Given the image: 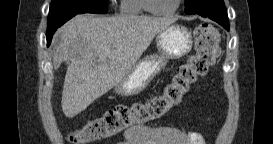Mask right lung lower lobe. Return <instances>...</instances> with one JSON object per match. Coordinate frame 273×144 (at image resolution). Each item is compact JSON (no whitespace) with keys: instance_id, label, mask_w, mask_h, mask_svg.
Returning a JSON list of instances; mask_svg holds the SVG:
<instances>
[{"instance_id":"obj_1","label":"right lung lower lobe","mask_w":273,"mask_h":144,"mask_svg":"<svg viewBox=\"0 0 273 144\" xmlns=\"http://www.w3.org/2000/svg\"><path fill=\"white\" fill-rule=\"evenodd\" d=\"M77 14H78V13L72 14V15H70V16H67V17L61 19V20L55 25V29H54L52 32L47 33V35H46V37H47V46L50 45L51 40H52V37H53V34L55 33L56 29H57L58 27H60L61 25H63L65 22H67L69 19H71L73 16H75V15H77Z\"/></svg>"}]
</instances>
